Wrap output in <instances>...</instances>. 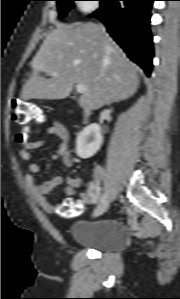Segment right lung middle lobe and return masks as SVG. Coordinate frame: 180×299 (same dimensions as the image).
I'll return each instance as SVG.
<instances>
[{
  "label": "right lung middle lobe",
  "instance_id": "obj_1",
  "mask_svg": "<svg viewBox=\"0 0 180 299\" xmlns=\"http://www.w3.org/2000/svg\"><path fill=\"white\" fill-rule=\"evenodd\" d=\"M56 1L58 3L59 18H63L66 16L67 11L74 7L75 0H56Z\"/></svg>",
  "mask_w": 180,
  "mask_h": 299
}]
</instances>
